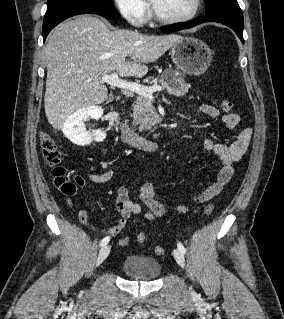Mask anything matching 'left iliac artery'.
I'll return each mask as SVG.
<instances>
[{
    "mask_svg": "<svg viewBox=\"0 0 284 319\" xmlns=\"http://www.w3.org/2000/svg\"><path fill=\"white\" fill-rule=\"evenodd\" d=\"M177 246H178V249H179L183 254H185L186 250H185L184 246L182 245V243H181V242H178V243H177Z\"/></svg>",
    "mask_w": 284,
    "mask_h": 319,
    "instance_id": "obj_1",
    "label": "left iliac artery"
}]
</instances>
